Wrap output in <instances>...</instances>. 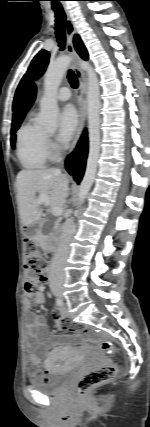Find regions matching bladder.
Masks as SVG:
<instances>
[{
  "label": "bladder",
  "instance_id": "1",
  "mask_svg": "<svg viewBox=\"0 0 150 427\" xmlns=\"http://www.w3.org/2000/svg\"><path fill=\"white\" fill-rule=\"evenodd\" d=\"M75 372V368L54 369L49 368L43 379H31L32 386L45 394H57L64 389L69 379Z\"/></svg>",
  "mask_w": 150,
  "mask_h": 427
}]
</instances>
